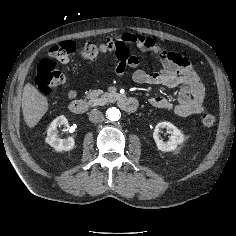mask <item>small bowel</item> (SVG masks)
Returning a JSON list of instances; mask_svg holds the SVG:
<instances>
[{
	"label": "small bowel",
	"instance_id": "1",
	"mask_svg": "<svg viewBox=\"0 0 236 236\" xmlns=\"http://www.w3.org/2000/svg\"><path fill=\"white\" fill-rule=\"evenodd\" d=\"M116 42L123 49V53L116 54L118 58L115 69L117 75H122L126 67H130L134 69L132 80L135 83L178 88L175 101L164 96L150 98L149 102L153 107L173 110L181 117L194 116L203 111L204 86L187 58L163 49L154 39L147 36L128 33L122 35ZM130 45H135L143 51L157 55L161 62V69L151 72L138 69L139 60L130 54ZM76 96L77 93L74 90L68 92L70 99Z\"/></svg>",
	"mask_w": 236,
	"mask_h": 236
}]
</instances>
